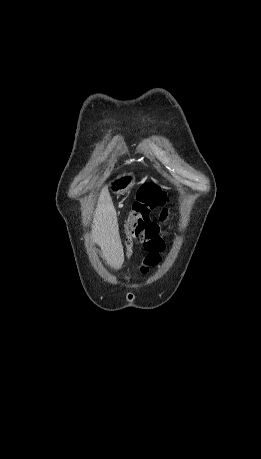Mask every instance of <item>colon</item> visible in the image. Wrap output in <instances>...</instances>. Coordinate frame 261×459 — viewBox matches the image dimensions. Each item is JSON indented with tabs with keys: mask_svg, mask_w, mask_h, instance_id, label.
Returning a JSON list of instances; mask_svg holds the SVG:
<instances>
[{
	"mask_svg": "<svg viewBox=\"0 0 261 459\" xmlns=\"http://www.w3.org/2000/svg\"><path fill=\"white\" fill-rule=\"evenodd\" d=\"M168 201L166 191L157 183L147 182L139 189L131 216L121 224L127 259L131 258L134 250L135 235L138 238H159L160 234L172 230L167 227L170 224L168 219L151 218V211L165 206ZM165 216L166 210H163L162 218ZM172 228L176 229L177 225L173 224Z\"/></svg>",
	"mask_w": 261,
	"mask_h": 459,
	"instance_id": "5ec220e1",
	"label": "colon"
}]
</instances>
